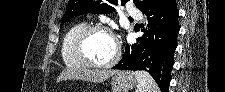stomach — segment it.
I'll return each instance as SVG.
<instances>
[{
  "label": "stomach",
  "mask_w": 225,
  "mask_h": 92,
  "mask_svg": "<svg viewBox=\"0 0 225 92\" xmlns=\"http://www.w3.org/2000/svg\"><path fill=\"white\" fill-rule=\"evenodd\" d=\"M135 73L132 71H118L112 77V91L113 92H129L136 85Z\"/></svg>",
  "instance_id": "0dacf381"
}]
</instances>
